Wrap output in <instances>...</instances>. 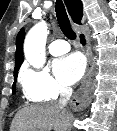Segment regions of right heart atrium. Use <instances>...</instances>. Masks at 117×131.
I'll use <instances>...</instances> for the list:
<instances>
[{
    "label": "right heart atrium",
    "mask_w": 117,
    "mask_h": 131,
    "mask_svg": "<svg viewBox=\"0 0 117 131\" xmlns=\"http://www.w3.org/2000/svg\"><path fill=\"white\" fill-rule=\"evenodd\" d=\"M20 82L25 95L32 101L54 100L69 91V88L56 80L46 68L34 69L25 66L20 73Z\"/></svg>",
    "instance_id": "1"
}]
</instances>
